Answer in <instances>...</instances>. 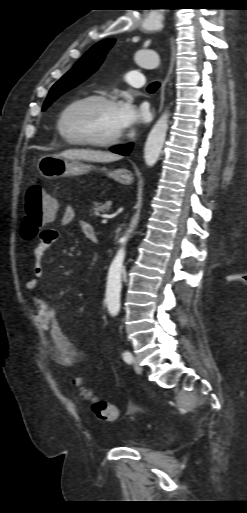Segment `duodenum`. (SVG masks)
Here are the masks:
<instances>
[{"label": "duodenum", "mask_w": 247, "mask_h": 513, "mask_svg": "<svg viewBox=\"0 0 247 513\" xmlns=\"http://www.w3.org/2000/svg\"><path fill=\"white\" fill-rule=\"evenodd\" d=\"M90 240L93 241V242H96L97 241V238H96V235L95 234H91L89 236Z\"/></svg>", "instance_id": "duodenum-1"}]
</instances>
